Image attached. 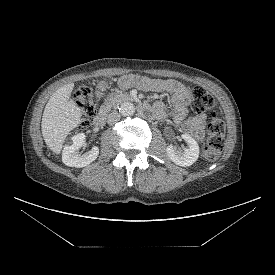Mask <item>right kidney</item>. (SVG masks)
<instances>
[{
  "mask_svg": "<svg viewBox=\"0 0 275 275\" xmlns=\"http://www.w3.org/2000/svg\"><path fill=\"white\" fill-rule=\"evenodd\" d=\"M85 134L79 133L72 137V144L64 147L62 162L70 167L82 168L92 163L99 155V148L93 147L89 152L80 155L79 149L84 146Z\"/></svg>",
  "mask_w": 275,
  "mask_h": 275,
  "instance_id": "right-kidney-1",
  "label": "right kidney"
}]
</instances>
